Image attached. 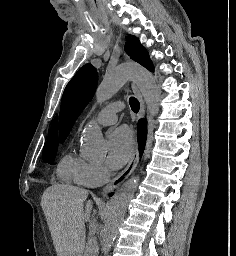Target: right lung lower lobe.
<instances>
[{
    "label": "right lung lower lobe",
    "instance_id": "obj_1",
    "mask_svg": "<svg viewBox=\"0 0 236 256\" xmlns=\"http://www.w3.org/2000/svg\"><path fill=\"white\" fill-rule=\"evenodd\" d=\"M146 137H147V126H146L145 120L142 119L138 123V142H139V150L141 154L144 150ZM112 194L113 193H110V196Z\"/></svg>",
    "mask_w": 236,
    "mask_h": 256
}]
</instances>
